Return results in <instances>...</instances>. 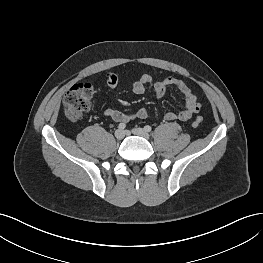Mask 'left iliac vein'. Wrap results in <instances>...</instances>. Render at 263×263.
<instances>
[{
  "label": "left iliac vein",
  "mask_w": 263,
  "mask_h": 263,
  "mask_svg": "<svg viewBox=\"0 0 263 263\" xmlns=\"http://www.w3.org/2000/svg\"><path fill=\"white\" fill-rule=\"evenodd\" d=\"M132 133L137 135V136L144 137L146 139L149 138V133L143 128H139V127L133 128Z\"/></svg>",
  "instance_id": "4c4485c4"
}]
</instances>
